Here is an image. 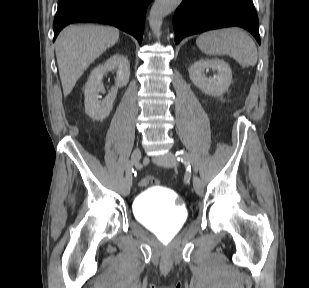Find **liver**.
Instances as JSON below:
<instances>
[{"instance_id":"liver-1","label":"liver","mask_w":309,"mask_h":288,"mask_svg":"<svg viewBox=\"0 0 309 288\" xmlns=\"http://www.w3.org/2000/svg\"><path fill=\"white\" fill-rule=\"evenodd\" d=\"M119 39V30L98 25H69L55 42L64 96H68L84 71Z\"/></svg>"}]
</instances>
